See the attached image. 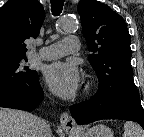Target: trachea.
Listing matches in <instances>:
<instances>
[{
    "label": "trachea",
    "instance_id": "3493384b",
    "mask_svg": "<svg viewBox=\"0 0 144 137\" xmlns=\"http://www.w3.org/2000/svg\"><path fill=\"white\" fill-rule=\"evenodd\" d=\"M64 0H51V10L54 16L59 15L62 12Z\"/></svg>",
    "mask_w": 144,
    "mask_h": 137
}]
</instances>
